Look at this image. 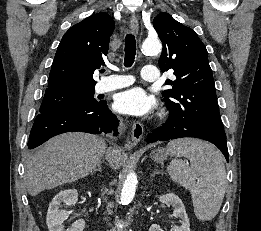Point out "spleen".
Listing matches in <instances>:
<instances>
[{
	"mask_svg": "<svg viewBox=\"0 0 261 231\" xmlns=\"http://www.w3.org/2000/svg\"><path fill=\"white\" fill-rule=\"evenodd\" d=\"M167 149L172 155L183 156L190 161L189 165L179 159L172 160L167 167L170 178L191 192L198 219H213L221 207L227 184L221 152L195 138L172 140Z\"/></svg>",
	"mask_w": 261,
	"mask_h": 231,
	"instance_id": "3e777b00",
	"label": "spleen"
}]
</instances>
